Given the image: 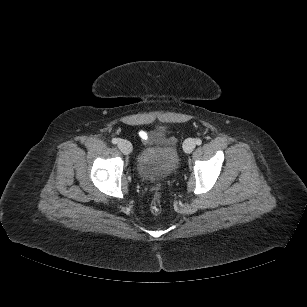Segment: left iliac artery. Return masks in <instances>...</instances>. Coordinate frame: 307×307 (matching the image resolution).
Segmentation results:
<instances>
[{"mask_svg":"<svg viewBox=\"0 0 307 307\" xmlns=\"http://www.w3.org/2000/svg\"><path fill=\"white\" fill-rule=\"evenodd\" d=\"M196 144H197V145H201V144H202V140H201L200 138H198V139L196 140Z\"/></svg>","mask_w":307,"mask_h":307,"instance_id":"obj_1","label":"left iliac artery"}]
</instances>
